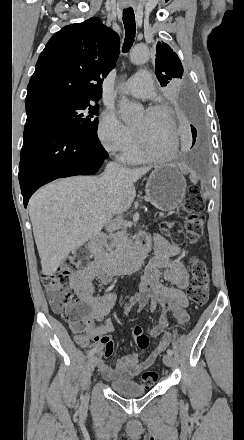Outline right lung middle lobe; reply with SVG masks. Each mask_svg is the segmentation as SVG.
Returning <instances> with one entry per match:
<instances>
[{
    "label": "right lung middle lobe",
    "mask_w": 244,
    "mask_h": 440,
    "mask_svg": "<svg viewBox=\"0 0 244 440\" xmlns=\"http://www.w3.org/2000/svg\"><path fill=\"white\" fill-rule=\"evenodd\" d=\"M98 99L49 94L25 99L27 121H48L85 136H97Z\"/></svg>",
    "instance_id": "right-lung-middle-lobe-1"
}]
</instances>
